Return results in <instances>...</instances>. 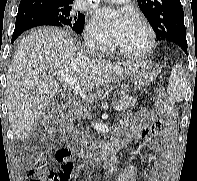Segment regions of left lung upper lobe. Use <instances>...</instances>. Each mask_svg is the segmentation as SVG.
Segmentation results:
<instances>
[{
  "label": "left lung upper lobe",
  "instance_id": "5c2ea615",
  "mask_svg": "<svg viewBox=\"0 0 197 181\" xmlns=\"http://www.w3.org/2000/svg\"><path fill=\"white\" fill-rule=\"evenodd\" d=\"M138 5L153 27L157 40L173 41L186 37L184 12L180 0H137Z\"/></svg>",
  "mask_w": 197,
  "mask_h": 181
}]
</instances>
